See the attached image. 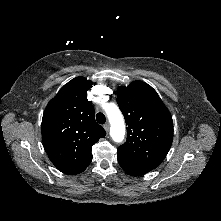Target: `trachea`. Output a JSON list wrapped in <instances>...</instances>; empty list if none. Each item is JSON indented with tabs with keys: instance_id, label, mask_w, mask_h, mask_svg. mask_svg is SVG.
I'll list each match as a JSON object with an SVG mask.
<instances>
[{
	"instance_id": "trachea-1",
	"label": "trachea",
	"mask_w": 221,
	"mask_h": 221,
	"mask_svg": "<svg viewBox=\"0 0 221 221\" xmlns=\"http://www.w3.org/2000/svg\"><path fill=\"white\" fill-rule=\"evenodd\" d=\"M96 120L99 124H104L106 122V117L103 113L99 112L96 115Z\"/></svg>"
}]
</instances>
